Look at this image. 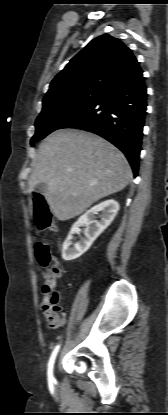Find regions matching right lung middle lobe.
<instances>
[{
    "instance_id": "1",
    "label": "right lung middle lobe",
    "mask_w": 168,
    "mask_h": 415,
    "mask_svg": "<svg viewBox=\"0 0 168 415\" xmlns=\"http://www.w3.org/2000/svg\"><path fill=\"white\" fill-rule=\"evenodd\" d=\"M102 92L103 90L95 89L79 90L43 102L42 111L35 122L36 132L31 139V146L59 129L66 121L94 102Z\"/></svg>"
}]
</instances>
